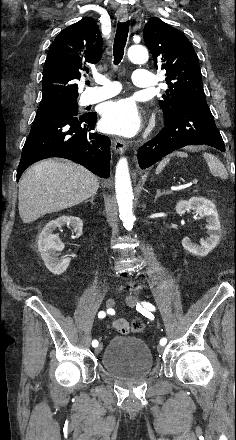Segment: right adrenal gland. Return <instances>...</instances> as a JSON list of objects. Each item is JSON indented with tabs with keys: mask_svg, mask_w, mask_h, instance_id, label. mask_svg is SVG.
Returning a JSON list of instances; mask_svg holds the SVG:
<instances>
[{
	"mask_svg": "<svg viewBox=\"0 0 236 440\" xmlns=\"http://www.w3.org/2000/svg\"><path fill=\"white\" fill-rule=\"evenodd\" d=\"M94 195L89 199V200H86L85 202H91V204H94Z\"/></svg>",
	"mask_w": 236,
	"mask_h": 440,
	"instance_id": "obj_1",
	"label": "right adrenal gland"
}]
</instances>
